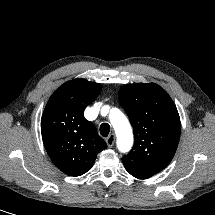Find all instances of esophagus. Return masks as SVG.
<instances>
[{"mask_svg":"<svg viewBox=\"0 0 215 215\" xmlns=\"http://www.w3.org/2000/svg\"><path fill=\"white\" fill-rule=\"evenodd\" d=\"M106 143L108 145V147H112L115 143V135L111 134L106 138Z\"/></svg>","mask_w":215,"mask_h":215,"instance_id":"1","label":"esophagus"}]
</instances>
